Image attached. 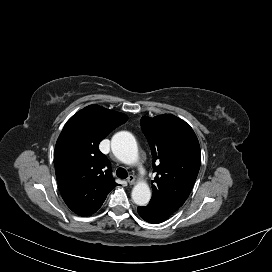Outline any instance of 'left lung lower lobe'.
Here are the masks:
<instances>
[{
	"instance_id": "left-lung-lower-lobe-1",
	"label": "left lung lower lobe",
	"mask_w": 272,
	"mask_h": 272,
	"mask_svg": "<svg viewBox=\"0 0 272 272\" xmlns=\"http://www.w3.org/2000/svg\"><path fill=\"white\" fill-rule=\"evenodd\" d=\"M138 213L145 221L154 224L163 222L170 217L149 205L138 207Z\"/></svg>"
}]
</instances>
